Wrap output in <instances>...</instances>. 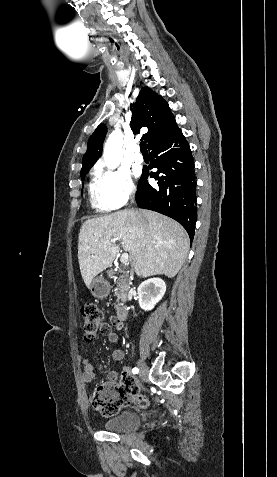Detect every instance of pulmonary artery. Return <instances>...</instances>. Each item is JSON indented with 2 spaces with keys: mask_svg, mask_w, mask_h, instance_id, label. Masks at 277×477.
Wrapping results in <instances>:
<instances>
[{
  "mask_svg": "<svg viewBox=\"0 0 277 477\" xmlns=\"http://www.w3.org/2000/svg\"><path fill=\"white\" fill-rule=\"evenodd\" d=\"M133 159L137 163H142L144 161L143 155L140 153V150L138 147L135 148V153L133 155Z\"/></svg>",
  "mask_w": 277,
  "mask_h": 477,
  "instance_id": "obj_1",
  "label": "pulmonary artery"
}]
</instances>
